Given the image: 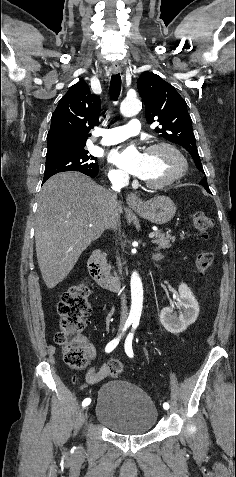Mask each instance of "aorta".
<instances>
[{
  "instance_id": "obj_1",
  "label": "aorta",
  "mask_w": 236,
  "mask_h": 477,
  "mask_svg": "<svg viewBox=\"0 0 236 477\" xmlns=\"http://www.w3.org/2000/svg\"><path fill=\"white\" fill-rule=\"evenodd\" d=\"M142 108V104L137 98H125L121 105L120 111L125 117H131L136 115ZM131 310L130 318L133 320H139L142 312L143 305V286L142 281L137 272H133L131 275Z\"/></svg>"
}]
</instances>
